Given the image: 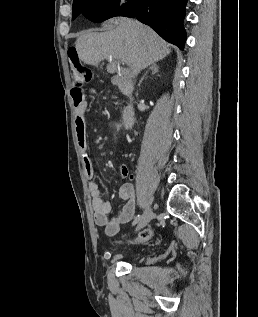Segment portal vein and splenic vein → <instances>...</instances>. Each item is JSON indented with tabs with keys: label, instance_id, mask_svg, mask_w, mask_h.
<instances>
[{
	"label": "portal vein and splenic vein",
	"instance_id": "1",
	"mask_svg": "<svg viewBox=\"0 0 258 317\" xmlns=\"http://www.w3.org/2000/svg\"><path fill=\"white\" fill-rule=\"evenodd\" d=\"M126 72H128L129 68H125Z\"/></svg>",
	"mask_w": 258,
	"mask_h": 317
}]
</instances>
